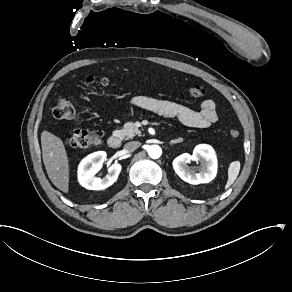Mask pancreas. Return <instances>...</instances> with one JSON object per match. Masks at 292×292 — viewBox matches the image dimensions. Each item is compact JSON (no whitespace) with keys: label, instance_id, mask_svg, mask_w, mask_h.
Instances as JSON below:
<instances>
[{"label":"pancreas","instance_id":"obj_1","mask_svg":"<svg viewBox=\"0 0 292 292\" xmlns=\"http://www.w3.org/2000/svg\"><path fill=\"white\" fill-rule=\"evenodd\" d=\"M135 135L141 136V131L136 127L134 121H129L124 124L123 129H121L116 136L120 139L126 137L127 139L134 138Z\"/></svg>","mask_w":292,"mask_h":292}]
</instances>
